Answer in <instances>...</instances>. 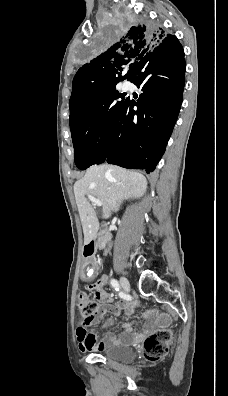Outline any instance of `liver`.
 Masks as SVG:
<instances>
[{
  "instance_id": "liver-1",
  "label": "liver",
  "mask_w": 228,
  "mask_h": 396,
  "mask_svg": "<svg viewBox=\"0 0 228 396\" xmlns=\"http://www.w3.org/2000/svg\"><path fill=\"white\" fill-rule=\"evenodd\" d=\"M146 188L147 180L138 172L108 164L91 166L74 184L84 243L93 240L99 230L96 213L86 195H92L102 202L104 218L108 219L124 200L143 196Z\"/></svg>"
}]
</instances>
